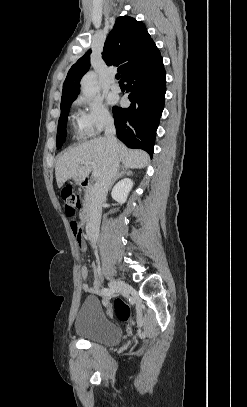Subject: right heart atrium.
I'll return each instance as SVG.
<instances>
[{
  "instance_id": "right-heart-atrium-1",
  "label": "right heart atrium",
  "mask_w": 247,
  "mask_h": 407,
  "mask_svg": "<svg viewBox=\"0 0 247 407\" xmlns=\"http://www.w3.org/2000/svg\"><path fill=\"white\" fill-rule=\"evenodd\" d=\"M75 120L84 137L100 133L112 123V116L105 104L98 98L81 96L76 99Z\"/></svg>"
}]
</instances>
